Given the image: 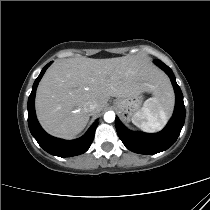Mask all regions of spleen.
Listing matches in <instances>:
<instances>
[{
	"label": "spleen",
	"mask_w": 210,
	"mask_h": 210,
	"mask_svg": "<svg viewBox=\"0 0 210 210\" xmlns=\"http://www.w3.org/2000/svg\"><path fill=\"white\" fill-rule=\"evenodd\" d=\"M172 100L164 96H155L144 102L138 113L132 117V123L149 133L160 131L168 120L167 111Z\"/></svg>",
	"instance_id": "obj_1"
}]
</instances>
